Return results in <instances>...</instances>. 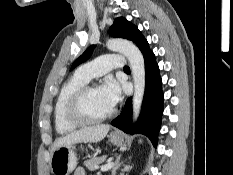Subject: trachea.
<instances>
[{
  "label": "trachea",
  "instance_id": "trachea-1",
  "mask_svg": "<svg viewBox=\"0 0 233 175\" xmlns=\"http://www.w3.org/2000/svg\"><path fill=\"white\" fill-rule=\"evenodd\" d=\"M124 70H130V68L128 66H125Z\"/></svg>",
  "mask_w": 233,
  "mask_h": 175
}]
</instances>
